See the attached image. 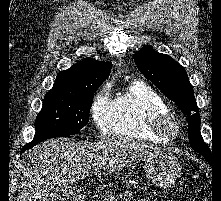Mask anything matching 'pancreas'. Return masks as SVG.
Masks as SVG:
<instances>
[{
	"instance_id": "pancreas-1",
	"label": "pancreas",
	"mask_w": 221,
	"mask_h": 201,
	"mask_svg": "<svg viewBox=\"0 0 221 201\" xmlns=\"http://www.w3.org/2000/svg\"><path fill=\"white\" fill-rule=\"evenodd\" d=\"M112 197H114V196L108 195L106 198L103 199V201H107L108 199H109V201H110V199H111ZM112 201H117V200H116V199H113ZM138 201H139V200H138Z\"/></svg>"
}]
</instances>
